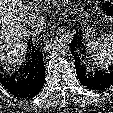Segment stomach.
<instances>
[{
    "label": "stomach",
    "mask_w": 113,
    "mask_h": 113,
    "mask_svg": "<svg viewBox=\"0 0 113 113\" xmlns=\"http://www.w3.org/2000/svg\"><path fill=\"white\" fill-rule=\"evenodd\" d=\"M86 18L84 20H82V24H83V35L85 40L90 41V40H94L95 35H96V26L94 25V23L89 20V18L87 16H85Z\"/></svg>",
    "instance_id": "obj_1"
}]
</instances>
